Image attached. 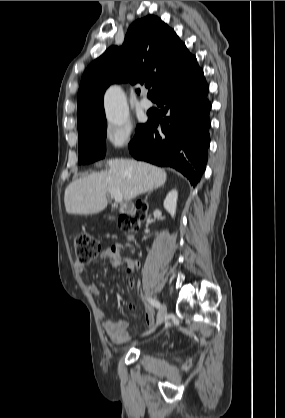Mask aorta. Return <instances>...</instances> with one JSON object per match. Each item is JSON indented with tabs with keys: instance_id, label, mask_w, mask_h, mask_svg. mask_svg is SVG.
Wrapping results in <instances>:
<instances>
[{
	"instance_id": "obj_1",
	"label": "aorta",
	"mask_w": 285,
	"mask_h": 418,
	"mask_svg": "<svg viewBox=\"0 0 285 418\" xmlns=\"http://www.w3.org/2000/svg\"><path fill=\"white\" fill-rule=\"evenodd\" d=\"M104 106L106 117L111 126H124L129 117L123 90L118 86L110 87L105 93Z\"/></svg>"
}]
</instances>
